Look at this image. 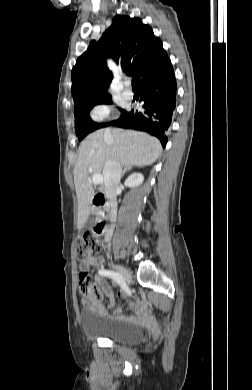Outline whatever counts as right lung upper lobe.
Wrapping results in <instances>:
<instances>
[{
	"instance_id": "right-lung-upper-lobe-1",
	"label": "right lung upper lobe",
	"mask_w": 252,
	"mask_h": 390,
	"mask_svg": "<svg viewBox=\"0 0 252 390\" xmlns=\"http://www.w3.org/2000/svg\"><path fill=\"white\" fill-rule=\"evenodd\" d=\"M108 57L134 74L138 85L145 78L172 68L160 39L150 26L140 19L117 15L102 37L97 42H90L72 69L74 109L110 96L107 88L113 75L107 67Z\"/></svg>"
}]
</instances>
